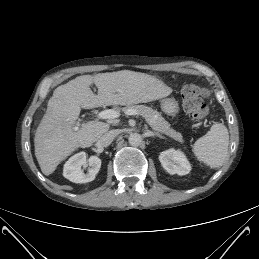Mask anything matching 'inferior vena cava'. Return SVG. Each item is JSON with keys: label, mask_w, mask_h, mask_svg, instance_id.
<instances>
[{"label": "inferior vena cava", "mask_w": 259, "mask_h": 259, "mask_svg": "<svg viewBox=\"0 0 259 259\" xmlns=\"http://www.w3.org/2000/svg\"><path fill=\"white\" fill-rule=\"evenodd\" d=\"M116 136H117V131L110 130L100 137V139L98 140V144L103 147L109 146Z\"/></svg>", "instance_id": "obj_1"}]
</instances>
